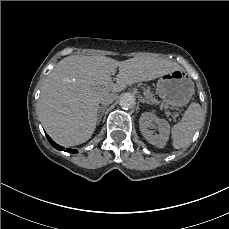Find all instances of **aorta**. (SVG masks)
Masks as SVG:
<instances>
[{
    "label": "aorta",
    "instance_id": "aorta-1",
    "mask_svg": "<svg viewBox=\"0 0 229 229\" xmlns=\"http://www.w3.org/2000/svg\"><path fill=\"white\" fill-rule=\"evenodd\" d=\"M119 104L124 109H131L135 107L136 99L132 94L125 93L120 96Z\"/></svg>",
    "mask_w": 229,
    "mask_h": 229
}]
</instances>
